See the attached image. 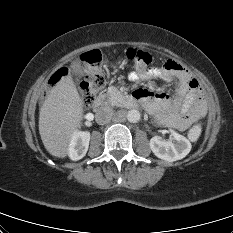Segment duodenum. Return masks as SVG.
Masks as SVG:
<instances>
[{"label":"duodenum","instance_id":"obj_1","mask_svg":"<svg viewBox=\"0 0 233 233\" xmlns=\"http://www.w3.org/2000/svg\"><path fill=\"white\" fill-rule=\"evenodd\" d=\"M108 99H109V95L106 93L99 95L94 102V107L97 109L103 107L107 103ZM137 103H138V98L135 95L129 96L123 100L124 106L128 108H135L137 106Z\"/></svg>","mask_w":233,"mask_h":233}]
</instances>
